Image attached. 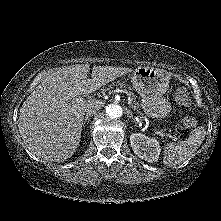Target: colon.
<instances>
[{
  "label": "colon",
  "mask_w": 221,
  "mask_h": 221,
  "mask_svg": "<svg viewBox=\"0 0 221 221\" xmlns=\"http://www.w3.org/2000/svg\"><path fill=\"white\" fill-rule=\"evenodd\" d=\"M175 100L177 104L180 106H183V107L189 106L191 101H190L188 90L183 86L178 87L175 90ZM182 124L186 128H193L196 125V120L191 115H185L182 118Z\"/></svg>",
  "instance_id": "5ec220e1"
}]
</instances>
